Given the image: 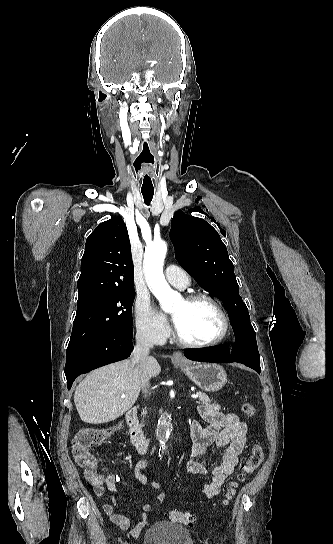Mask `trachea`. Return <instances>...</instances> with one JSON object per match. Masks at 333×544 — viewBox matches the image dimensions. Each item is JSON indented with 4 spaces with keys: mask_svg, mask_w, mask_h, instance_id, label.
Returning a JSON list of instances; mask_svg holds the SVG:
<instances>
[{
    "mask_svg": "<svg viewBox=\"0 0 333 544\" xmlns=\"http://www.w3.org/2000/svg\"><path fill=\"white\" fill-rule=\"evenodd\" d=\"M141 192H142L145 204L149 205L153 198L154 190H141Z\"/></svg>",
    "mask_w": 333,
    "mask_h": 544,
    "instance_id": "3493384b",
    "label": "trachea"
}]
</instances>
